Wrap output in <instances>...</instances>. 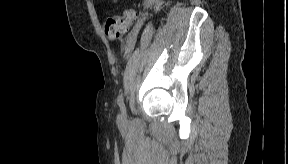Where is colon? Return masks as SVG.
Returning <instances> with one entry per match:
<instances>
[{
	"label": "colon",
	"instance_id": "colon-1",
	"mask_svg": "<svg viewBox=\"0 0 288 164\" xmlns=\"http://www.w3.org/2000/svg\"><path fill=\"white\" fill-rule=\"evenodd\" d=\"M136 12L127 8L123 10L121 15H112L103 21V30L109 40H117L127 34L131 27Z\"/></svg>",
	"mask_w": 288,
	"mask_h": 164
}]
</instances>
